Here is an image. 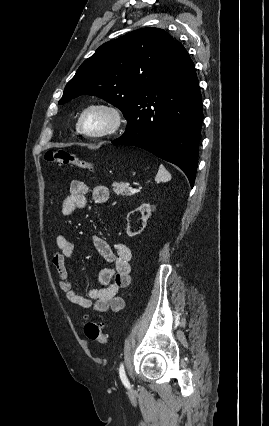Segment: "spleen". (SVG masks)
I'll return each mask as SVG.
<instances>
[{"instance_id": "spleen-1", "label": "spleen", "mask_w": 269, "mask_h": 426, "mask_svg": "<svg viewBox=\"0 0 269 426\" xmlns=\"http://www.w3.org/2000/svg\"><path fill=\"white\" fill-rule=\"evenodd\" d=\"M171 180L170 173L165 169L163 165L159 166L158 173L156 174L155 181L156 182H167Z\"/></svg>"}]
</instances>
